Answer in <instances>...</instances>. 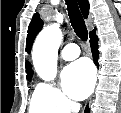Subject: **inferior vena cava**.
Listing matches in <instances>:
<instances>
[{
    "instance_id": "obj_1",
    "label": "inferior vena cava",
    "mask_w": 121,
    "mask_h": 113,
    "mask_svg": "<svg viewBox=\"0 0 121 113\" xmlns=\"http://www.w3.org/2000/svg\"><path fill=\"white\" fill-rule=\"evenodd\" d=\"M72 109L74 110L75 113H78L79 109H80V104L78 103H73L72 104Z\"/></svg>"
}]
</instances>
